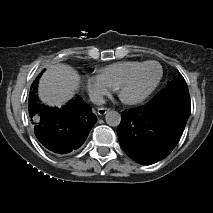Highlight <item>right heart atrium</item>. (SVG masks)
Returning a JSON list of instances; mask_svg holds the SVG:
<instances>
[{"instance_id":"obj_1","label":"right heart atrium","mask_w":213,"mask_h":213,"mask_svg":"<svg viewBox=\"0 0 213 213\" xmlns=\"http://www.w3.org/2000/svg\"><path fill=\"white\" fill-rule=\"evenodd\" d=\"M85 87L90 97L95 101H102L111 93L112 87L99 75H87L85 77Z\"/></svg>"}]
</instances>
